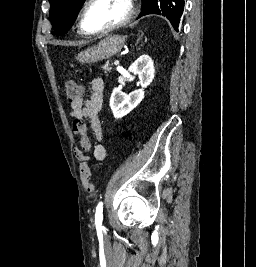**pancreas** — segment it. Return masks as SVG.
<instances>
[{
  "instance_id": "obj_1",
  "label": "pancreas",
  "mask_w": 256,
  "mask_h": 267,
  "mask_svg": "<svg viewBox=\"0 0 256 267\" xmlns=\"http://www.w3.org/2000/svg\"><path fill=\"white\" fill-rule=\"evenodd\" d=\"M103 70H111V68H109V64H105V66H102Z\"/></svg>"
}]
</instances>
